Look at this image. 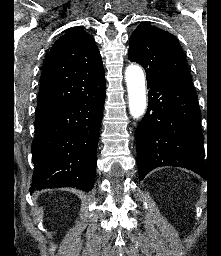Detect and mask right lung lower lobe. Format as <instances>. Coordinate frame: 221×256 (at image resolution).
Masks as SVG:
<instances>
[{"instance_id": "right-lung-lower-lobe-1", "label": "right lung lower lobe", "mask_w": 221, "mask_h": 256, "mask_svg": "<svg viewBox=\"0 0 221 256\" xmlns=\"http://www.w3.org/2000/svg\"><path fill=\"white\" fill-rule=\"evenodd\" d=\"M105 88L36 114L32 143L34 174L30 192L94 185Z\"/></svg>"}]
</instances>
